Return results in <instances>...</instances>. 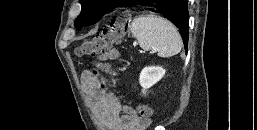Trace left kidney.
<instances>
[{
    "mask_svg": "<svg viewBox=\"0 0 257 130\" xmlns=\"http://www.w3.org/2000/svg\"><path fill=\"white\" fill-rule=\"evenodd\" d=\"M165 69L159 66H148L142 69L139 77V82L142 92L145 93L147 89L152 87L158 81H160L165 75Z\"/></svg>",
    "mask_w": 257,
    "mask_h": 130,
    "instance_id": "obj_1",
    "label": "left kidney"
}]
</instances>
